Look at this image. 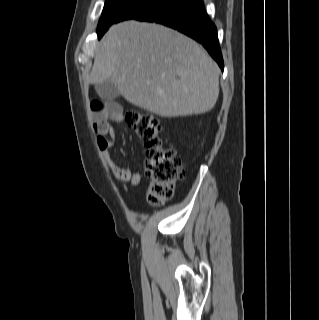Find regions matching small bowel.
Returning <instances> with one entry per match:
<instances>
[{
  "mask_svg": "<svg viewBox=\"0 0 319 320\" xmlns=\"http://www.w3.org/2000/svg\"><path fill=\"white\" fill-rule=\"evenodd\" d=\"M92 110L95 113L93 128L96 133V145L102 153L110 172L122 183L138 186L141 182V174L131 170L129 167L118 165L110 155V150L114 147L116 138L111 121L116 123L122 122L123 111L121 106L113 102L101 105L99 102L94 101L92 102Z\"/></svg>",
  "mask_w": 319,
  "mask_h": 320,
  "instance_id": "small-bowel-1",
  "label": "small bowel"
}]
</instances>
